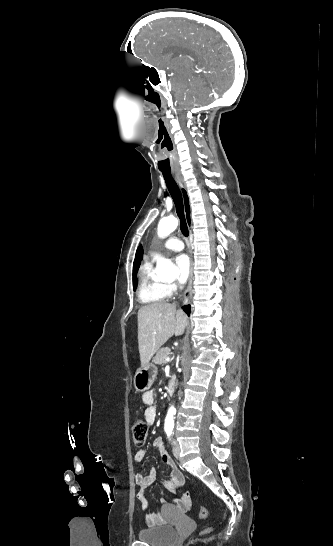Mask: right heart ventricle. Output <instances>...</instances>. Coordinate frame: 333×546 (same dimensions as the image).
Listing matches in <instances>:
<instances>
[{
  "instance_id": "obj_1",
  "label": "right heart ventricle",
  "mask_w": 333,
  "mask_h": 546,
  "mask_svg": "<svg viewBox=\"0 0 333 546\" xmlns=\"http://www.w3.org/2000/svg\"><path fill=\"white\" fill-rule=\"evenodd\" d=\"M138 297L145 305L160 303L168 297L164 284L154 275L151 261H146L140 269Z\"/></svg>"
}]
</instances>
